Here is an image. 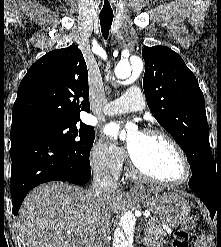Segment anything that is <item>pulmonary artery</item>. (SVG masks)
Instances as JSON below:
<instances>
[{"label": "pulmonary artery", "mask_w": 221, "mask_h": 247, "mask_svg": "<svg viewBox=\"0 0 221 247\" xmlns=\"http://www.w3.org/2000/svg\"><path fill=\"white\" fill-rule=\"evenodd\" d=\"M145 108L144 97L140 89L136 86L129 87L126 93L109 102L103 109V113L108 116H113L121 113L141 111Z\"/></svg>", "instance_id": "e3ab8cb5"}]
</instances>
